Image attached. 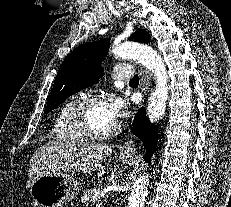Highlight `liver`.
Returning a JSON list of instances; mask_svg holds the SVG:
<instances>
[{
    "label": "liver",
    "mask_w": 231,
    "mask_h": 207,
    "mask_svg": "<svg viewBox=\"0 0 231 207\" xmlns=\"http://www.w3.org/2000/svg\"><path fill=\"white\" fill-rule=\"evenodd\" d=\"M113 146L107 144L48 143L33 155L28 171L27 188L37 177L54 169L88 173L97 171L98 176L105 173L102 160L112 153ZM50 172V171H49Z\"/></svg>",
    "instance_id": "obj_1"
}]
</instances>
